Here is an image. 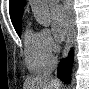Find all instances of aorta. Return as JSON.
Masks as SVG:
<instances>
[{
  "label": "aorta",
  "mask_w": 89,
  "mask_h": 89,
  "mask_svg": "<svg viewBox=\"0 0 89 89\" xmlns=\"http://www.w3.org/2000/svg\"><path fill=\"white\" fill-rule=\"evenodd\" d=\"M30 5L36 21L44 27H48L50 25L48 0H31Z\"/></svg>",
  "instance_id": "1"
}]
</instances>
